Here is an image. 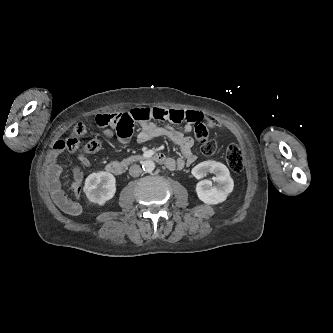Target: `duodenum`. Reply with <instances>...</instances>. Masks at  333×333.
Masks as SVG:
<instances>
[{
    "label": "duodenum",
    "mask_w": 333,
    "mask_h": 333,
    "mask_svg": "<svg viewBox=\"0 0 333 333\" xmlns=\"http://www.w3.org/2000/svg\"><path fill=\"white\" fill-rule=\"evenodd\" d=\"M146 158H151L154 161L164 164V165L167 163V158L163 154L155 153V154L145 156V157L131 158V159H129L127 161H123V162L115 161V160L110 161L106 166V170L114 175H122L130 163H133L134 161H137L140 159H146Z\"/></svg>",
    "instance_id": "duodenum-1"
}]
</instances>
